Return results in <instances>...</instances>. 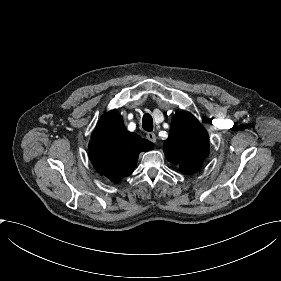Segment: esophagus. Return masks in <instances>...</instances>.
I'll return each instance as SVG.
<instances>
[{"instance_id": "esophagus-1", "label": "esophagus", "mask_w": 281, "mask_h": 281, "mask_svg": "<svg viewBox=\"0 0 281 281\" xmlns=\"http://www.w3.org/2000/svg\"><path fill=\"white\" fill-rule=\"evenodd\" d=\"M146 138H147L148 140H150L151 142H153V143H155L156 140H157L155 133H152V132L147 133V134H146Z\"/></svg>"}]
</instances>
